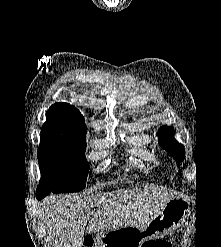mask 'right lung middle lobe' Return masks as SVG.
Here are the masks:
<instances>
[{"label":"right lung middle lobe","mask_w":221,"mask_h":247,"mask_svg":"<svg viewBox=\"0 0 221 247\" xmlns=\"http://www.w3.org/2000/svg\"><path fill=\"white\" fill-rule=\"evenodd\" d=\"M85 150V137L41 130L38 161L42 176L38 187L53 193L83 190L90 168Z\"/></svg>","instance_id":"dd1d6c3e"}]
</instances>
